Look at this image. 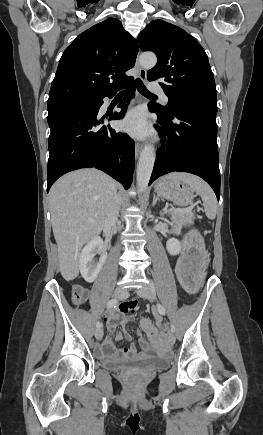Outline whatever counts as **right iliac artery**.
<instances>
[{"label":"right iliac artery","mask_w":263,"mask_h":435,"mask_svg":"<svg viewBox=\"0 0 263 435\" xmlns=\"http://www.w3.org/2000/svg\"><path fill=\"white\" fill-rule=\"evenodd\" d=\"M117 303H118V300L115 298V299H111L108 303H107V309H110V308H115L116 307V305H117ZM101 323L98 321L97 323H96V327H97V329H100L101 328Z\"/></svg>","instance_id":"right-iliac-artery-1"}]
</instances>
